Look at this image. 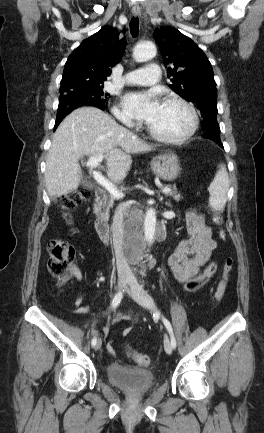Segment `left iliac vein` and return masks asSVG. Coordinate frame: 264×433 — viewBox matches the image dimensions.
Segmentation results:
<instances>
[{"instance_id": "1", "label": "left iliac vein", "mask_w": 264, "mask_h": 433, "mask_svg": "<svg viewBox=\"0 0 264 433\" xmlns=\"http://www.w3.org/2000/svg\"><path fill=\"white\" fill-rule=\"evenodd\" d=\"M128 284L132 298L141 306L153 311L155 309V303L153 299L141 290L137 281L135 279H131L129 280ZM164 348L167 354L172 353V345L167 336L164 339Z\"/></svg>"}]
</instances>
